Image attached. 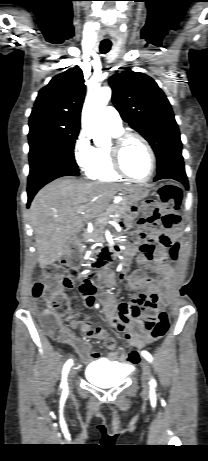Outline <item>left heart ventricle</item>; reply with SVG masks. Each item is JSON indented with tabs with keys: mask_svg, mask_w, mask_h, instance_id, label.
<instances>
[{
	"mask_svg": "<svg viewBox=\"0 0 208 461\" xmlns=\"http://www.w3.org/2000/svg\"><path fill=\"white\" fill-rule=\"evenodd\" d=\"M122 163L128 174L143 179L150 171V157L147 149L137 139H130L123 149Z\"/></svg>",
	"mask_w": 208,
	"mask_h": 461,
	"instance_id": "1",
	"label": "left heart ventricle"
}]
</instances>
